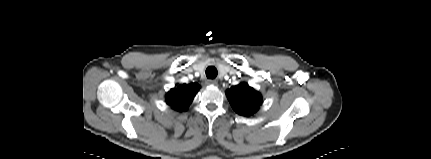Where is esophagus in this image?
<instances>
[{
  "label": "esophagus",
  "instance_id": "34e87169",
  "mask_svg": "<svg viewBox=\"0 0 431 159\" xmlns=\"http://www.w3.org/2000/svg\"><path fill=\"white\" fill-rule=\"evenodd\" d=\"M208 85H213V86H216L218 83H217V81L216 80H213V79H211V80H207V82H206Z\"/></svg>",
  "mask_w": 431,
  "mask_h": 159
}]
</instances>
